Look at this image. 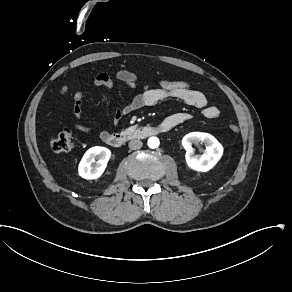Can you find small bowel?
<instances>
[{
	"instance_id": "small-bowel-1",
	"label": "small bowel",
	"mask_w": 292,
	"mask_h": 292,
	"mask_svg": "<svg viewBox=\"0 0 292 292\" xmlns=\"http://www.w3.org/2000/svg\"><path fill=\"white\" fill-rule=\"evenodd\" d=\"M116 78L126 83L130 88H136L138 81V75L136 73L128 70H120L116 73ZM94 85L96 87L112 88L113 80L107 73H99L94 79ZM168 99H177L196 107L201 110L203 116L207 119H217L221 114L218 107L209 105L207 97L202 92L193 89L189 83L184 81H161L158 88H151L145 84L142 90L128 104L117 110L115 122L119 121L123 116L142 108L155 106ZM84 105V94L82 92H76L73 97L74 125L81 132L91 133L93 129L82 122ZM189 119L190 115L188 113H174L163 119L160 126H169L172 129ZM109 135V131L103 129L100 132V139L106 141Z\"/></svg>"
}]
</instances>
